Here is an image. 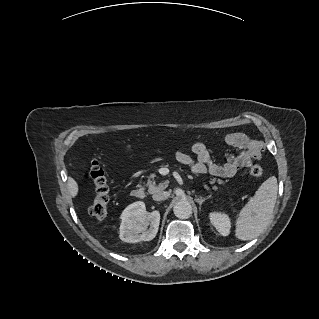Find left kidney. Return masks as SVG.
<instances>
[{
    "label": "left kidney",
    "mask_w": 319,
    "mask_h": 319,
    "mask_svg": "<svg viewBox=\"0 0 319 319\" xmlns=\"http://www.w3.org/2000/svg\"><path fill=\"white\" fill-rule=\"evenodd\" d=\"M211 224L222 236L230 233L231 221L227 214L221 212H211L209 215Z\"/></svg>",
    "instance_id": "left-kidney-1"
}]
</instances>
